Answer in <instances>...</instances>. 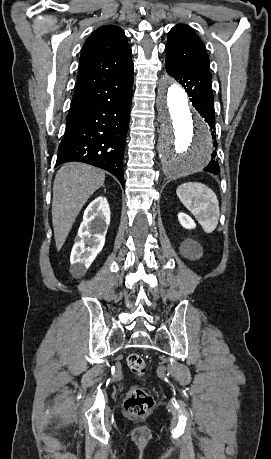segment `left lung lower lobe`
I'll use <instances>...</instances> for the list:
<instances>
[{"label": "left lung lower lobe", "mask_w": 271, "mask_h": 459, "mask_svg": "<svg viewBox=\"0 0 271 459\" xmlns=\"http://www.w3.org/2000/svg\"><path fill=\"white\" fill-rule=\"evenodd\" d=\"M166 71L174 79L185 87V91L190 96L193 106L205 118L211 129L213 138L214 152L211 155V162L203 170L214 174L220 173L217 160V142L215 136V115H214V97L212 94V75L210 72H193L177 69L165 64Z\"/></svg>", "instance_id": "1"}]
</instances>
